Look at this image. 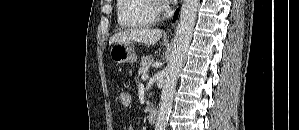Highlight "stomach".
<instances>
[{
    "mask_svg": "<svg viewBox=\"0 0 299 130\" xmlns=\"http://www.w3.org/2000/svg\"><path fill=\"white\" fill-rule=\"evenodd\" d=\"M110 58L116 63H134L137 55L131 43H115L110 49Z\"/></svg>",
    "mask_w": 299,
    "mask_h": 130,
    "instance_id": "1",
    "label": "stomach"
}]
</instances>
